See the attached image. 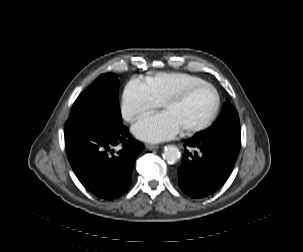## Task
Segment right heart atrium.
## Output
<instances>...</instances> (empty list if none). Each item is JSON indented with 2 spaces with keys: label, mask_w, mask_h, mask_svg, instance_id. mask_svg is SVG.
Segmentation results:
<instances>
[{
  "label": "right heart atrium",
  "mask_w": 303,
  "mask_h": 252,
  "mask_svg": "<svg viewBox=\"0 0 303 252\" xmlns=\"http://www.w3.org/2000/svg\"><path fill=\"white\" fill-rule=\"evenodd\" d=\"M157 105L151 100L145 84L133 78L127 84L120 103V112L126 122H133L154 111Z\"/></svg>",
  "instance_id": "right-heart-atrium-1"
}]
</instances>
